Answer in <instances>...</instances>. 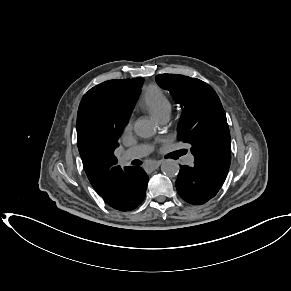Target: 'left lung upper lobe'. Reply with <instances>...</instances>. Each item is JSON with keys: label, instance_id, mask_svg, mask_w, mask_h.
<instances>
[{"label": "left lung upper lobe", "instance_id": "5c2ea615", "mask_svg": "<svg viewBox=\"0 0 291 291\" xmlns=\"http://www.w3.org/2000/svg\"><path fill=\"white\" fill-rule=\"evenodd\" d=\"M156 82L181 105L177 138L192 145L197 162L226 177L231 163L230 132L226 114L207 83L179 74H161Z\"/></svg>", "mask_w": 291, "mask_h": 291}]
</instances>
